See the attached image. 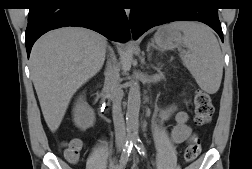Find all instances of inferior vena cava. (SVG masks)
<instances>
[{"label":"inferior vena cava","mask_w":252,"mask_h":169,"mask_svg":"<svg viewBox=\"0 0 252 169\" xmlns=\"http://www.w3.org/2000/svg\"><path fill=\"white\" fill-rule=\"evenodd\" d=\"M110 60L105 70V86L112 100V117L115 129V142L118 148H122L126 141V127L122 113L121 102L123 91L120 86V66L114 53L110 54Z\"/></svg>","instance_id":"obj_1"}]
</instances>
